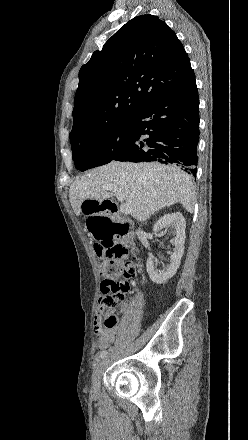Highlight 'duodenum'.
Masks as SVG:
<instances>
[{
    "label": "duodenum",
    "mask_w": 248,
    "mask_h": 440,
    "mask_svg": "<svg viewBox=\"0 0 248 440\" xmlns=\"http://www.w3.org/2000/svg\"><path fill=\"white\" fill-rule=\"evenodd\" d=\"M102 204H104L105 209H108L109 213H110V217L111 219L114 221L115 226L114 228H116L117 230V234L119 235H127L128 234V230H129V224L125 219H122L118 216H116L117 213V206L116 204L111 201V200H104L102 202Z\"/></svg>",
    "instance_id": "obj_1"
}]
</instances>
